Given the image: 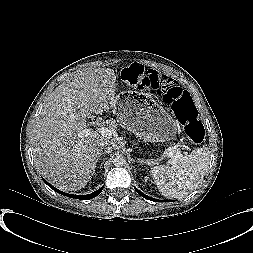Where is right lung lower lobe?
I'll return each instance as SVG.
<instances>
[{
    "instance_id": "right-lung-lower-lobe-1",
    "label": "right lung lower lobe",
    "mask_w": 253,
    "mask_h": 253,
    "mask_svg": "<svg viewBox=\"0 0 253 253\" xmlns=\"http://www.w3.org/2000/svg\"><path fill=\"white\" fill-rule=\"evenodd\" d=\"M44 180V179H43ZM44 182L50 187L52 188L54 191L62 194V195H65V196H68V197H71V198H76V199H82V200H88V199H91V198H94L96 197L97 195H99L103 189L104 186H102L99 190L91 193V194H88V195H72V194H67V193H64L58 189H56L55 187H53L50 183H48L47 181L44 180Z\"/></svg>"
}]
</instances>
